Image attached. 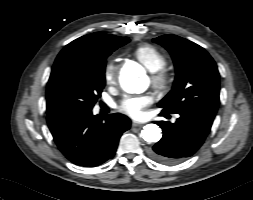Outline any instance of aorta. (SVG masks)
Masks as SVG:
<instances>
[{"label":"aorta","instance_id":"aorta-1","mask_svg":"<svg viewBox=\"0 0 253 200\" xmlns=\"http://www.w3.org/2000/svg\"><path fill=\"white\" fill-rule=\"evenodd\" d=\"M120 83L128 93H142L147 89L149 79L142 70L133 69L123 72ZM141 136L148 143H156L161 139V129L156 124H147L143 128Z\"/></svg>","mask_w":253,"mask_h":200}]
</instances>
